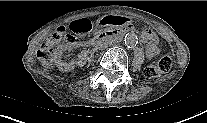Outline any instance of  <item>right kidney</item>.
Returning <instances> with one entry per match:
<instances>
[{"label":"right kidney","mask_w":207,"mask_h":123,"mask_svg":"<svg viewBox=\"0 0 207 123\" xmlns=\"http://www.w3.org/2000/svg\"><path fill=\"white\" fill-rule=\"evenodd\" d=\"M66 49L67 48L64 45H60L54 50L53 53L55 64L61 71H71L75 67V62H69V63L62 62L61 60L62 54Z\"/></svg>","instance_id":"right-kidney-1"}]
</instances>
